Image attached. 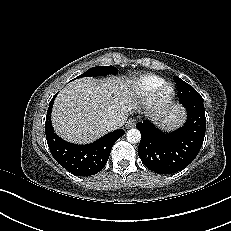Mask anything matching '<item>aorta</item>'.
<instances>
[{
  "mask_svg": "<svg viewBox=\"0 0 231 231\" xmlns=\"http://www.w3.org/2000/svg\"><path fill=\"white\" fill-rule=\"evenodd\" d=\"M126 138L129 143H138L141 139V133L138 129L132 128L127 131Z\"/></svg>",
  "mask_w": 231,
  "mask_h": 231,
  "instance_id": "obj_1",
  "label": "aorta"
}]
</instances>
